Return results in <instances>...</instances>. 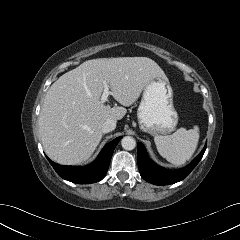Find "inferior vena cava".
Listing matches in <instances>:
<instances>
[{
	"label": "inferior vena cava",
	"instance_id": "1",
	"mask_svg": "<svg viewBox=\"0 0 240 240\" xmlns=\"http://www.w3.org/2000/svg\"><path fill=\"white\" fill-rule=\"evenodd\" d=\"M116 128V121L113 119H107L103 124H102V132L103 133H109L113 131Z\"/></svg>",
	"mask_w": 240,
	"mask_h": 240
}]
</instances>
